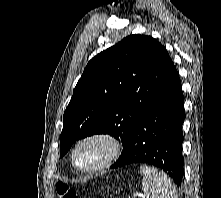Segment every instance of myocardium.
Listing matches in <instances>:
<instances>
[{"mask_svg": "<svg viewBox=\"0 0 221 198\" xmlns=\"http://www.w3.org/2000/svg\"><path fill=\"white\" fill-rule=\"evenodd\" d=\"M89 142L103 143L106 146V154L97 165L93 167L85 168V167L79 166L76 163L75 157H76V152L79 149V147ZM120 152H121V143L115 135L109 132L98 131V132H92V133H89L80 137L74 143L72 147L70 159H71L72 165L74 166L76 170H78L81 173L92 174V173H96V172H99L108 168L118 158Z\"/></svg>", "mask_w": 221, "mask_h": 198, "instance_id": "1", "label": "myocardium"}]
</instances>
